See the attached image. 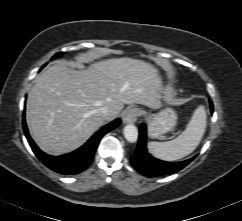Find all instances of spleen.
Returning <instances> with one entry per match:
<instances>
[{
  "mask_svg": "<svg viewBox=\"0 0 242 221\" xmlns=\"http://www.w3.org/2000/svg\"><path fill=\"white\" fill-rule=\"evenodd\" d=\"M207 117L205 107L200 105L193 113L186 129L175 139L166 142L151 141L149 152L164 161H176L192 153L205 133Z\"/></svg>",
  "mask_w": 242,
  "mask_h": 221,
  "instance_id": "3e777b00",
  "label": "spleen"
}]
</instances>
